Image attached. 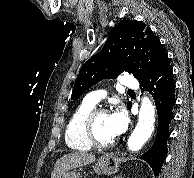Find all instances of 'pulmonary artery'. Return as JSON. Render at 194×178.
<instances>
[{
    "instance_id": "e3ab8cb5",
    "label": "pulmonary artery",
    "mask_w": 194,
    "mask_h": 178,
    "mask_svg": "<svg viewBox=\"0 0 194 178\" xmlns=\"http://www.w3.org/2000/svg\"><path fill=\"white\" fill-rule=\"evenodd\" d=\"M122 86L126 88L136 89L138 87V82L133 76L128 75L124 77ZM103 97H104L103 92L94 91L87 95L86 101H88L91 104L96 105L99 101H101Z\"/></svg>"
}]
</instances>
